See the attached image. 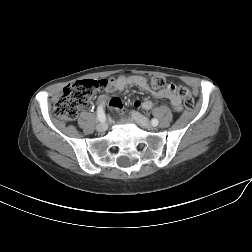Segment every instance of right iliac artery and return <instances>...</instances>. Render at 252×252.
Returning <instances> with one entry per match:
<instances>
[{
    "label": "right iliac artery",
    "mask_w": 252,
    "mask_h": 252,
    "mask_svg": "<svg viewBox=\"0 0 252 252\" xmlns=\"http://www.w3.org/2000/svg\"><path fill=\"white\" fill-rule=\"evenodd\" d=\"M99 116V121H101V124H104L105 123V112L103 110V106L100 105L97 109V112H96Z\"/></svg>",
    "instance_id": "right-iliac-artery-1"
}]
</instances>
